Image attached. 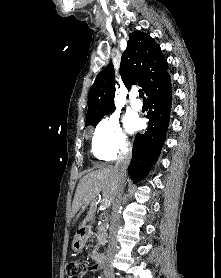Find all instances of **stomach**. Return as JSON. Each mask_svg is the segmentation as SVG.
Wrapping results in <instances>:
<instances>
[{
  "label": "stomach",
  "instance_id": "obj_1",
  "mask_svg": "<svg viewBox=\"0 0 221 278\" xmlns=\"http://www.w3.org/2000/svg\"><path fill=\"white\" fill-rule=\"evenodd\" d=\"M87 241V237L81 234H76L73 241H72V249L74 252H81L82 249L85 246V243Z\"/></svg>",
  "mask_w": 221,
  "mask_h": 278
}]
</instances>
